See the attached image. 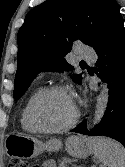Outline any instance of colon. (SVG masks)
Instances as JSON below:
<instances>
[{"mask_svg":"<svg viewBox=\"0 0 125 167\" xmlns=\"http://www.w3.org/2000/svg\"><path fill=\"white\" fill-rule=\"evenodd\" d=\"M8 167H29V165L23 160L11 159L8 163Z\"/></svg>","mask_w":125,"mask_h":167,"instance_id":"colon-1","label":"colon"}]
</instances>
